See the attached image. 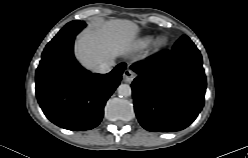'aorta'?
<instances>
[{
	"label": "aorta",
	"mask_w": 248,
	"mask_h": 158,
	"mask_svg": "<svg viewBox=\"0 0 248 158\" xmlns=\"http://www.w3.org/2000/svg\"><path fill=\"white\" fill-rule=\"evenodd\" d=\"M117 91L120 97H128L132 94L131 87L128 84H120Z\"/></svg>",
	"instance_id": "762f6f07"
}]
</instances>
